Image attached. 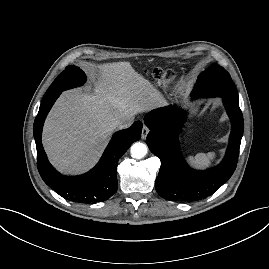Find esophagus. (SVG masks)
Masks as SVG:
<instances>
[{
	"mask_svg": "<svg viewBox=\"0 0 269 269\" xmlns=\"http://www.w3.org/2000/svg\"><path fill=\"white\" fill-rule=\"evenodd\" d=\"M148 133H149V128L144 125L142 128V134H141L142 139H146Z\"/></svg>",
	"mask_w": 269,
	"mask_h": 269,
	"instance_id": "esophagus-1",
	"label": "esophagus"
}]
</instances>
